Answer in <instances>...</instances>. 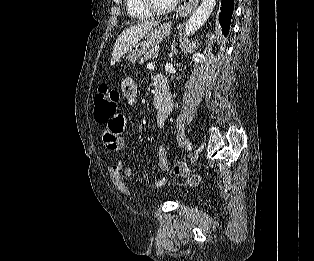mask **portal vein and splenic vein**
<instances>
[{"label":"portal vein and splenic vein","instance_id":"18ae733b","mask_svg":"<svg viewBox=\"0 0 314 261\" xmlns=\"http://www.w3.org/2000/svg\"><path fill=\"white\" fill-rule=\"evenodd\" d=\"M155 65L153 63H148L147 68L148 69H154Z\"/></svg>","mask_w":314,"mask_h":261}]
</instances>
